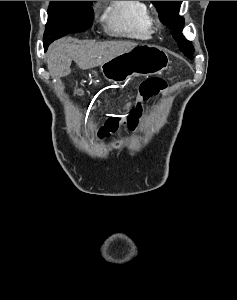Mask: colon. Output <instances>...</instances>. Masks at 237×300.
<instances>
[{
  "instance_id": "colon-1",
  "label": "colon",
  "mask_w": 237,
  "mask_h": 300,
  "mask_svg": "<svg viewBox=\"0 0 237 300\" xmlns=\"http://www.w3.org/2000/svg\"><path fill=\"white\" fill-rule=\"evenodd\" d=\"M167 88V83L163 78L152 77L144 80L138 89V98L140 101H145L153 96L163 93ZM81 93V91H79ZM141 105L137 102L130 110L126 117L114 116L107 119L105 125L100 129L99 136L106 137L117 131L119 126H127L130 130L137 125L141 115Z\"/></svg>"
}]
</instances>
